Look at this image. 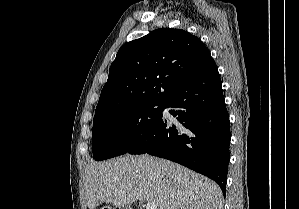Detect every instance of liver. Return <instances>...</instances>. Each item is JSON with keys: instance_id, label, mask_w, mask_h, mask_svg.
Returning <instances> with one entry per match:
<instances>
[{"instance_id": "obj_1", "label": "liver", "mask_w": 299, "mask_h": 209, "mask_svg": "<svg viewBox=\"0 0 299 209\" xmlns=\"http://www.w3.org/2000/svg\"><path fill=\"white\" fill-rule=\"evenodd\" d=\"M85 195L89 209L102 203L121 207L137 200L154 202L157 209L223 208V195L214 181L147 154L88 164Z\"/></svg>"}]
</instances>
